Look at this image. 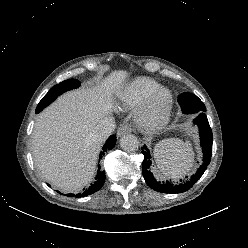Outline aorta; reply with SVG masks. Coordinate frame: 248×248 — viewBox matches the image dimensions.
<instances>
[{
    "label": "aorta",
    "mask_w": 248,
    "mask_h": 248,
    "mask_svg": "<svg viewBox=\"0 0 248 248\" xmlns=\"http://www.w3.org/2000/svg\"><path fill=\"white\" fill-rule=\"evenodd\" d=\"M120 147L126 152H135L139 148V141L134 135H126L120 139Z\"/></svg>",
    "instance_id": "obj_1"
}]
</instances>
